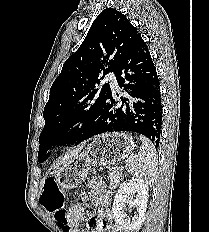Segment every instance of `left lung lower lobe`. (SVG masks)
<instances>
[{
    "label": "left lung lower lobe",
    "mask_w": 209,
    "mask_h": 232,
    "mask_svg": "<svg viewBox=\"0 0 209 232\" xmlns=\"http://www.w3.org/2000/svg\"><path fill=\"white\" fill-rule=\"evenodd\" d=\"M116 78L127 96L120 97L122 104H118L112 94L109 96L84 140L106 132L126 131L146 136L157 148L162 125L160 83L150 52L142 38L134 44Z\"/></svg>",
    "instance_id": "obj_1"
}]
</instances>
